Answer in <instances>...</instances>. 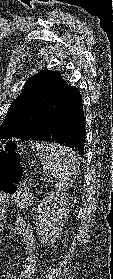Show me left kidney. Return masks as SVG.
<instances>
[{"label": "left kidney", "instance_id": "left-kidney-1", "mask_svg": "<svg viewBox=\"0 0 113 279\" xmlns=\"http://www.w3.org/2000/svg\"><path fill=\"white\" fill-rule=\"evenodd\" d=\"M69 213V195L56 190L40 201L35 216L38 239L43 246L53 245L59 238Z\"/></svg>", "mask_w": 113, "mask_h": 279}]
</instances>
